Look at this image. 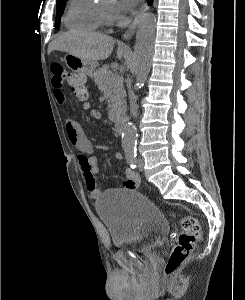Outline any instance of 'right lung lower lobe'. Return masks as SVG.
Returning a JSON list of instances; mask_svg holds the SVG:
<instances>
[{"label":"right lung lower lobe","mask_w":245,"mask_h":300,"mask_svg":"<svg viewBox=\"0 0 245 300\" xmlns=\"http://www.w3.org/2000/svg\"><path fill=\"white\" fill-rule=\"evenodd\" d=\"M153 0H148V3L151 4Z\"/></svg>","instance_id":"obj_1"}]
</instances>
